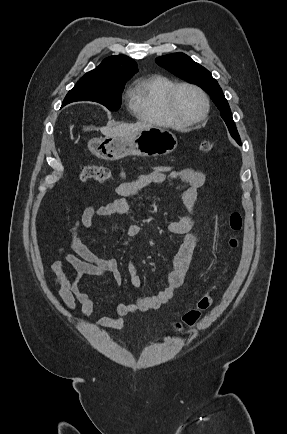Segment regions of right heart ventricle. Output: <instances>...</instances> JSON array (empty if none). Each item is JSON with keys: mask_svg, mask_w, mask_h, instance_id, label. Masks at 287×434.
<instances>
[{"mask_svg": "<svg viewBox=\"0 0 287 434\" xmlns=\"http://www.w3.org/2000/svg\"><path fill=\"white\" fill-rule=\"evenodd\" d=\"M174 82L163 75L139 78L130 92V109L144 122L164 127H181L169 114L166 95Z\"/></svg>", "mask_w": 287, "mask_h": 434, "instance_id": "1", "label": "right heart ventricle"}]
</instances>
